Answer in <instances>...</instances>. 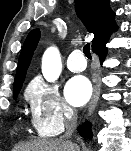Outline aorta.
Listing matches in <instances>:
<instances>
[{
  "mask_svg": "<svg viewBox=\"0 0 131 151\" xmlns=\"http://www.w3.org/2000/svg\"><path fill=\"white\" fill-rule=\"evenodd\" d=\"M61 56L57 48L51 47L46 50L42 59V73L49 82L58 79L61 73Z\"/></svg>",
  "mask_w": 131,
  "mask_h": 151,
  "instance_id": "762f6f07",
  "label": "aorta"
}]
</instances>
